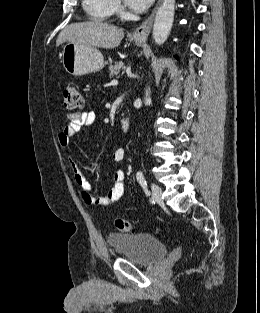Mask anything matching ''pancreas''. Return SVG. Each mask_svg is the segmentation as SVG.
Here are the masks:
<instances>
[{
  "label": "pancreas",
  "mask_w": 260,
  "mask_h": 313,
  "mask_svg": "<svg viewBox=\"0 0 260 313\" xmlns=\"http://www.w3.org/2000/svg\"><path fill=\"white\" fill-rule=\"evenodd\" d=\"M122 69H124V65L122 62H116L113 65H110L109 76L112 77L113 75H118Z\"/></svg>",
  "instance_id": "1"
}]
</instances>
